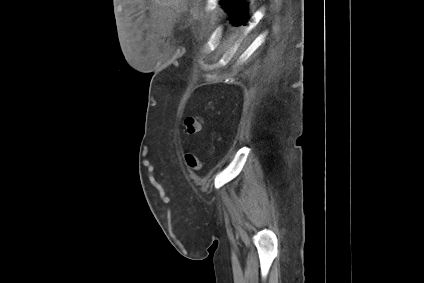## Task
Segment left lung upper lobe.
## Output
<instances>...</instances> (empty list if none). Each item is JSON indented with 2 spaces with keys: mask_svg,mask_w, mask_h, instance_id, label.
<instances>
[{
  "mask_svg": "<svg viewBox=\"0 0 424 283\" xmlns=\"http://www.w3.org/2000/svg\"><path fill=\"white\" fill-rule=\"evenodd\" d=\"M220 3L223 9L230 14L233 26L246 25L248 15L247 4L244 0H221Z\"/></svg>",
  "mask_w": 424,
  "mask_h": 283,
  "instance_id": "5c2ea615",
  "label": "left lung upper lobe"
}]
</instances>
